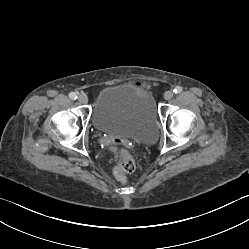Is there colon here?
I'll return each mask as SVG.
<instances>
[{"instance_id": "colon-1", "label": "colon", "mask_w": 249, "mask_h": 249, "mask_svg": "<svg viewBox=\"0 0 249 249\" xmlns=\"http://www.w3.org/2000/svg\"><path fill=\"white\" fill-rule=\"evenodd\" d=\"M118 155L120 162L115 168V175L119 181L125 182V174L135 169V161L132 155L125 149L119 150Z\"/></svg>"}]
</instances>
